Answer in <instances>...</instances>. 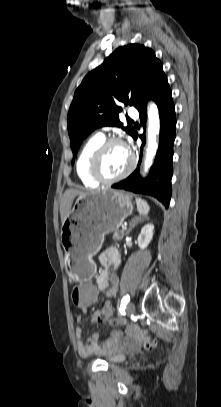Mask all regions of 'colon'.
Listing matches in <instances>:
<instances>
[{"label": "colon", "mask_w": 221, "mask_h": 407, "mask_svg": "<svg viewBox=\"0 0 221 407\" xmlns=\"http://www.w3.org/2000/svg\"><path fill=\"white\" fill-rule=\"evenodd\" d=\"M71 297L72 306H77L79 311H90L91 306L95 304L98 297L97 291H95V283H74ZM101 310L102 313L96 315L101 318V322L110 321L111 324L116 323L112 319L114 311L111 305H103ZM133 334L145 349H153L156 346L155 341L151 340L146 334L140 331H134Z\"/></svg>", "instance_id": "5ec220e1"}]
</instances>
